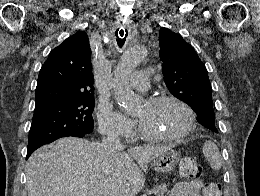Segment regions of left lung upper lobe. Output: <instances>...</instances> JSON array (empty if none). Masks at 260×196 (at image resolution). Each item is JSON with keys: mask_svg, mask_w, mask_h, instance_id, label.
Masks as SVG:
<instances>
[{"mask_svg": "<svg viewBox=\"0 0 260 196\" xmlns=\"http://www.w3.org/2000/svg\"><path fill=\"white\" fill-rule=\"evenodd\" d=\"M159 42L162 72L171 94L195 112H214L207 70L193 47L181 35L167 28L159 30ZM205 127L218 133L215 122Z\"/></svg>", "mask_w": 260, "mask_h": 196, "instance_id": "5c2ea615", "label": "left lung upper lobe"}]
</instances>
